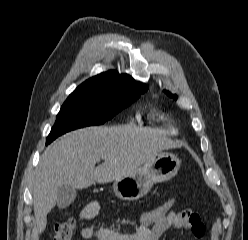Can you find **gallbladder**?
Returning a JSON list of instances; mask_svg holds the SVG:
<instances>
[{
    "label": "gallbladder",
    "instance_id": "1",
    "mask_svg": "<svg viewBox=\"0 0 248 240\" xmlns=\"http://www.w3.org/2000/svg\"><path fill=\"white\" fill-rule=\"evenodd\" d=\"M76 197V189L68 186L62 185L57 190V206L60 209L68 207Z\"/></svg>",
    "mask_w": 248,
    "mask_h": 240
}]
</instances>
